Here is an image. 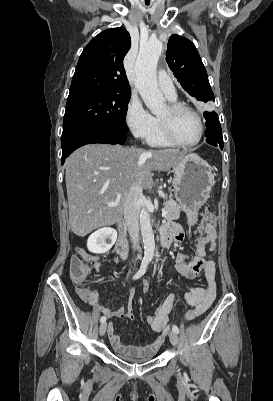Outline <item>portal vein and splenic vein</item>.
<instances>
[{
	"mask_svg": "<svg viewBox=\"0 0 273 401\" xmlns=\"http://www.w3.org/2000/svg\"><path fill=\"white\" fill-rule=\"evenodd\" d=\"M119 201H115V203H108L107 207H118ZM160 212L162 213V217H166V206H163V208L160 209Z\"/></svg>",
	"mask_w": 273,
	"mask_h": 401,
	"instance_id": "portal-vein-and-splenic-vein-1",
	"label": "portal vein and splenic vein"
}]
</instances>
